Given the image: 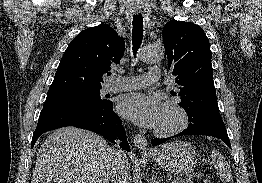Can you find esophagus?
<instances>
[{
	"label": "esophagus",
	"mask_w": 262,
	"mask_h": 183,
	"mask_svg": "<svg viewBox=\"0 0 262 183\" xmlns=\"http://www.w3.org/2000/svg\"><path fill=\"white\" fill-rule=\"evenodd\" d=\"M134 146L144 152H149L150 150L148 149V142L145 136L141 134H136L134 137Z\"/></svg>",
	"instance_id": "1"
}]
</instances>
